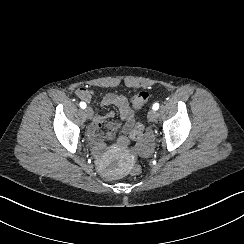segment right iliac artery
Here are the masks:
<instances>
[{
  "label": "right iliac artery",
  "mask_w": 244,
  "mask_h": 244,
  "mask_svg": "<svg viewBox=\"0 0 244 244\" xmlns=\"http://www.w3.org/2000/svg\"><path fill=\"white\" fill-rule=\"evenodd\" d=\"M80 107H81L82 109H85V108H86V103H85V102H80Z\"/></svg>",
  "instance_id": "1"
}]
</instances>
